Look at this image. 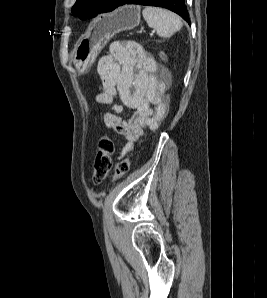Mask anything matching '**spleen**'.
Returning a JSON list of instances; mask_svg holds the SVG:
<instances>
[{
	"label": "spleen",
	"instance_id": "1",
	"mask_svg": "<svg viewBox=\"0 0 267 298\" xmlns=\"http://www.w3.org/2000/svg\"><path fill=\"white\" fill-rule=\"evenodd\" d=\"M142 15L148 26L153 28L160 37H171L180 31L183 25L178 15L158 7L146 6Z\"/></svg>",
	"mask_w": 267,
	"mask_h": 298
}]
</instances>
